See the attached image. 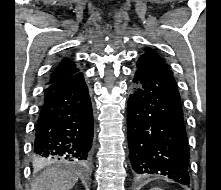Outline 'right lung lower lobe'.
Wrapping results in <instances>:
<instances>
[{"label":"right lung lower lobe","mask_w":221,"mask_h":190,"mask_svg":"<svg viewBox=\"0 0 221 190\" xmlns=\"http://www.w3.org/2000/svg\"><path fill=\"white\" fill-rule=\"evenodd\" d=\"M34 131L33 153L41 162L88 164L93 112L81 72L46 87Z\"/></svg>","instance_id":"obj_1"}]
</instances>
